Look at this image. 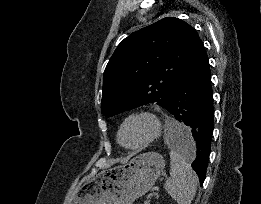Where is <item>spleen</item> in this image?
<instances>
[{"label": "spleen", "instance_id": "spleen-1", "mask_svg": "<svg viewBox=\"0 0 261 204\" xmlns=\"http://www.w3.org/2000/svg\"><path fill=\"white\" fill-rule=\"evenodd\" d=\"M167 132L187 133L183 124L172 121L167 125ZM171 170L170 178L165 182L164 188L178 204H191L197 189V177L190 164L175 149L170 151Z\"/></svg>", "mask_w": 261, "mask_h": 204}]
</instances>
